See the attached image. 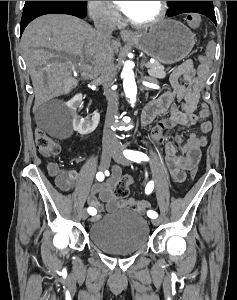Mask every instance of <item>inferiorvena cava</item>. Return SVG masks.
<instances>
[{
	"instance_id": "602c4592",
	"label": "inferior vena cava",
	"mask_w": 237,
	"mask_h": 300,
	"mask_svg": "<svg viewBox=\"0 0 237 300\" xmlns=\"http://www.w3.org/2000/svg\"><path fill=\"white\" fill-rule=\"evenodd\" d=\"M92 17L95 29H97V35L100 39L101 79L104 95L108 101L103 141H105V139L114 141V133H112L110 127L113 125L115 115H117L119 103L118 95L112 89L116 71L114 67V53L111 47V37L112 31H115L117 27V21H113L110 11H107L104 5H96L93 9Z\"/></svg>"
}]
</instances>
